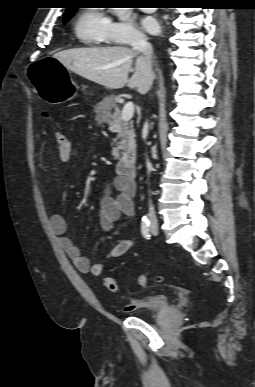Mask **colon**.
<instances>
[{
    "mask_svg": "<svg viewBox=\"0 0 255 387\" xmlns=\"http://www.w3.org/2000/svg\"><path fill=\"white\" fill-rule=\"evenodd\" d=\"M42 116L48 120L49 119V113L47 111L42 112ZM55 141L57 145V150L59 155H67L70 153L72 149V143L71 141L62 133L56 132L55 133ZM149 280V277L147 275H139L137 277V284L141 287H144L147 285ZM157 282H163L164 277L158 276L156 277ZM103 285L104 287L109 290L110 292H117L119 289L118 282L115 278L113 277H105L103 279Z\"/></svg>",
    "mask_w": 255,
    "mask_h": 387,
    "instance_id": "5ec220e1",
    "label": "colon"
}]
</instances>
